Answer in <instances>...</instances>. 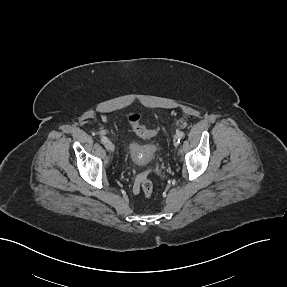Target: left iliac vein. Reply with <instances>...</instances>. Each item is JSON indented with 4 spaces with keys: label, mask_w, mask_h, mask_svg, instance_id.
<instances>
[{
    "label": "left iliac vein",
    "mask_w": 287,
    "mask_h": 287,
    "mask_svg": "<svg viewBox=\"0 0 287 287\" xmlns=\"http://www.w3.org/2000/svg\"><path fill=\"white\" fill-rule=\"evenodd\" d=\"M173 141H174V145L177 146V136L176 135H175Z\"/></svg>",
    "instance_id": "left-iliac-vein-1"
}]
</instances>
